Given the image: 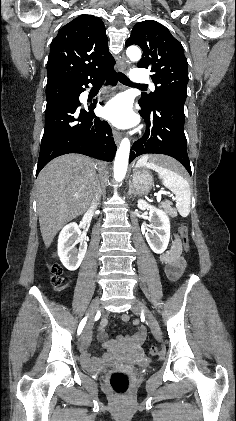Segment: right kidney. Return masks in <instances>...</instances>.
Here are the masks:
<instances>
[{
	"instance_id": "ca27d5eb",
	"label": "right kidney",
	"mask_w": 236,
	"mask_h": 421,
	"mask_svg": "<svg viewBox=\"0 0 236 421\" xmlns=\"http://www.w3.org/2000/svg\"><path fill=\"white\" fill-rule=\"evenodd\" d=\"M78 243H80V247L76 249ZM86 251L87 243H85L78 225L76 223L66 225L58 237V257L62 265L68 271H76L80 267Z\"/></svg>"
}]
</instances>
